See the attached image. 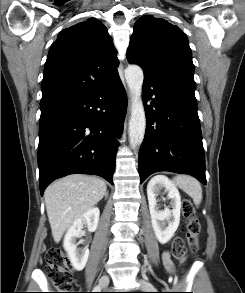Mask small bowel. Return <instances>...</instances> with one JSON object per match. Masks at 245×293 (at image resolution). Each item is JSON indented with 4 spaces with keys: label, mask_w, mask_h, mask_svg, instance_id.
<instances>
[{
    "label": "small bowel",
    "mask_w": 245,
    "mask_h": 293,
    "mask_svg": "<svg viewBox=\"0 0 245 293\" xmlns=\"http://www.w3.org/2000/svg\"><path fill=\"white\" fill-rule=\"evenodd\" d=\"M163 262H164V266H165L166 270L170 273H173L174 272V265H173V262L170 258L169 253H164Z\"/></svg>",
    "instance_id": "obj_1"
}]
</instances>
